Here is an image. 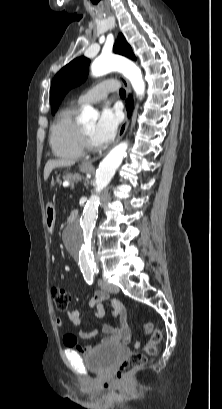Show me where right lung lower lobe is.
Instances as JSON below:
<instances>
[{"label": "right lung lower lobe", "mask_w": 222, "mask_h": 409, "mask_svg": "<svg viewBox=\"0 0 222 409\" xmlns=\"http://www.w3.org/2000/svg\"><path fill=\"white\" fill-rule=\"evenodd\" d=\"M126 105H127V111L130 114L131 111H132V108H133V101H132L131 97H129Z\"/></svg>", "instance_id": "right-lung-lower-lobe-1"}]
</instances>
